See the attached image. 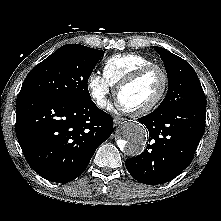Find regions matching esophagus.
Listing matches in <instances>:
<instances>
[{"instance_id":"esophagus-1","label":"esophagus","mask_w":221,"mask_h":221,"mask_svg":"<svg viewBox=\"0 0 221 221\" xmlns=\"http://www.w3.org/2000/svg\"><path fill=\"white\" fill-rule=\"evenodd\" d=\"M122 121H124V118H122V117H114V124L115 125L120 124Z\"/></svg>"}]
</instances>
